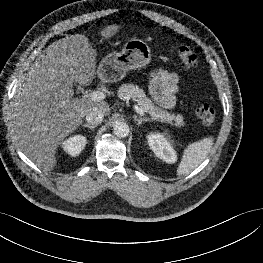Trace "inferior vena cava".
Instances as JSON below:
<instances>
[{"label": "inferior vena cava", "instance_id": "1", "mask_svg": "<svg viewBox=\"0 0 263 263\" xmlns=\"http://www.w3.org/2000/svg\"><path fill=\"white\" fill-rule=\"evenodd\" d=\"M86 121L91 125H98L103 121L104 112L100 108H92L86 113Z\"/></svg>", "mask_w": 263, "mask_h": 263}]
</instances>
